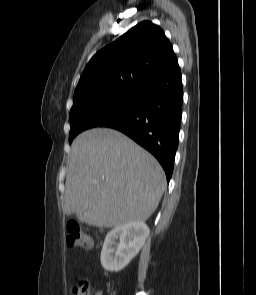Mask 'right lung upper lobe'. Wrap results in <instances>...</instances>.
I'll use <instances>...</instances> for the list:
<instances>
[{
  "label": "right lung upper lobe",
  "mask_w": 256,
  "mask_h": 295,
  "mask_svg": "<svg viewBox=\"0 0 256 295\" xmlns=\"http://www.w3.org/2000/svg\"><path fill=\"white\" fill-rule=\"evenodd\" d=\"M175 57L163 30L150 21L141 22L92 57L73 101L93 102L136 92Z\"/></svg>",
  "instance_id": "1"
}]
</instances>
